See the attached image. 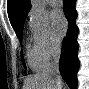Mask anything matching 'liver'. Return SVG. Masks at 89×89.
<instances>
[{
  "label": "liver",
  "instance_id": "liver-1",
  "mask_svg": "<svg viewBox=\"0 0 89 89\" xmlns=\"http://www.w3.org/2000/svg\"><path fill=\"white\" fill-rule=\"evenodd\" d=\"M57 87H61V80L50 73L32 75L26 79L24 85V89H57Z\"/></svg>",
  "mask_w": 89,
  "mask_h": 89
}]
</instances>
